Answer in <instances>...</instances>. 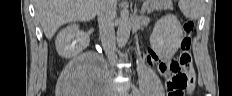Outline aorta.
<instances>
[{"label": "aorta", "instance_id": "1", "mask_svg": "<svg viewBox=\"0 0 232 96\" xmlns=\"http://www.w3.org/2000/svg\"><path fill=\"white\" fill-rule=\"evenodd\" d=\"M131 30V22L129 20L128 12H124L121 17L120 25L117 30V44L122 48L128 42Z\"/></svg>", "mask_w": 232, "mask_h": 96}]
</instances>
